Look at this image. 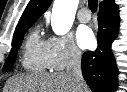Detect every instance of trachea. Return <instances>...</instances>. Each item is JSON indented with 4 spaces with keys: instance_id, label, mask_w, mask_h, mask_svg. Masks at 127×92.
<instances>
[{
    "instance_id": "3493384b",
    "label": "trachea",
    "mask_w": 127,
    "mask_h": 92,
    "mask_svg": "<svg viewBox=\"0 0 127 92\" xmlns=\"http://www.w3.org/2000/svg\"><path fill=\"white\" fill-rule=\"evenodd\" d=\"M88 6H89V9L93 13H95L97 11L98 1L97 0H88Z\"/></svg>"
}]
</instances>
